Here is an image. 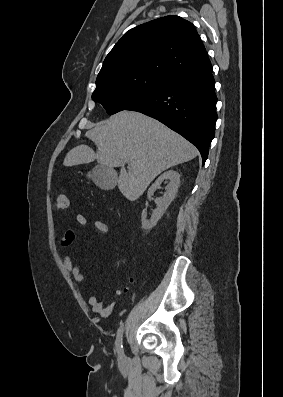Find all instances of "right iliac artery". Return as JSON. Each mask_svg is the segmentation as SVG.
Returning a JSON list of instances; mask_svg holds the SVG:
<instances>
[{
    "mask_svg": "<svg viewBox=\"0 0 283 397\" xmlns=\"http://www.w3.org/2000/svg\"><path fill=\"white\" fill-rule=\"evenodd\" d=\"M131 302L135 303L136 299L132 298ZM123 327H124V324L122 323L121 326L119 327L118 331H117V337H116V342H115L116 350H117V353L119 354L120 357L123 356V345H122Z\"/></svg>",
    "mask_w": 283,
    "mask_h": 397,
    "instance_id": "1",
    "label": "right iliac artery"
}]
</instances>
